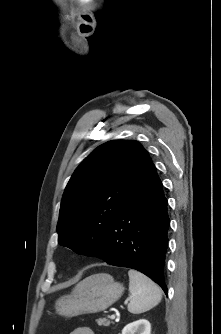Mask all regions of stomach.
I'll list each match as a JSON object with an SVG mask.
<instances>
[{"label": "stomach", "mask_w": 221, "mask_h": 334, "mask_svg": "<svg viewBox=\"0 0 221 334\" xmlns=\"http://www.w3.org/2000/svg\"><path fill=\"white\" fill-rule=\"evenodd\" d=\"M124 287L112 276L99 273L84 279L70 295L59 298L55 303L56 313L75 317L104 311L123 294Z\"/></svg>", "instance_id": "stomach-1"}]
</instances>
